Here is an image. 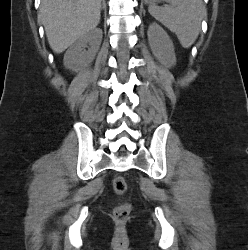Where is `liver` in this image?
I'll return each instance as SVG.
<instances>
[{
    "label": "liver",
    "mask_w": 248,
    "mask_h": 250,
    "mask_svg": "<svg viewBox=\"0 0 248 250\" xmlns=\"http://www.w3.org/2000/svg\"><path fill=\"white\" fill-rule=\"evenodd\" d=\"M101 0H42L39 19L48 43L62 53L100 22Z\"/></svg>",
    "instance_id": "1"
}]
</instances>
